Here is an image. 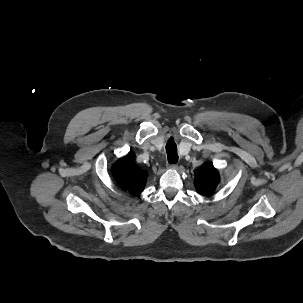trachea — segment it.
<instances>
[{"label": "trachea", "mask_w": 303, "mask_h": 303, "mask_svg": "<svg viewBox=\"0 0 303 303\" xmlns=\"http://www.w3.org/2000/svg\"><path fill=\"white\" fill-rule=\"evenodd\" d=\"M166 152L168 162L170 164H175L178 161L177 145L172 139H169L166 144Z\"/></svg>", "instance_id": "trachea-1"}]
</instances>
